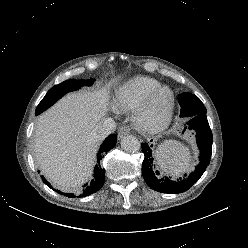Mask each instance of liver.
Listing matches in <instances>:
<instances>
[{"label": "liver", "instance_id": "1", "mask_svg": "<svg viewBox=\"0 0 248 248\" xmlns=\"http://www.w3.org/2000/svg\"><path fill=\"white\" fill-rule=\"evenodd\" d=\"M107 111L108 91L104 87L70 93L39 116L33 154L54 186L72 191L91 177L100 142L92 132Z\"/></svg>", "mask_w": 248, "mask_h": 248}]
</instances>
